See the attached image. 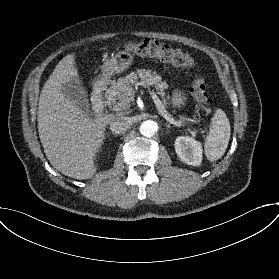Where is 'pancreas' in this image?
I'll return each mask as SVG.
<instances>
[{
	"instance_id": "1",
	"label": "pancreas",
	"mask_w": 279,
	"mask_h": 279,
	"mask_svg": "<svg viewBox=\"0 0 279 279\" xmlns=\"http://www.w3.org/2000/svg\"><path fill=\"white\" fill-rule=\"evenodd\" d=\"M138 80L145 87L154 86L161 95L168 88V84L162 81L161 76L156 72L146 69H138L136 72H131L123 78H119L117 83L112 85L106 91V104L112 110H124L130 108V102L133 101L135 91L132 87ZM187 118L180 117L179 121L183 124Z\"/></svg>"
}]
</instances>
